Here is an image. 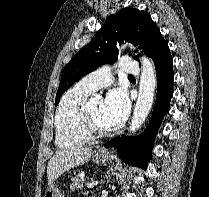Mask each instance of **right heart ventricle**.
<instances>
[{"mask_svg": "<svg viewBox=\"0 0 209 197\" xmlns=\"http://www.w3.org/2000/svg\"><path fill=\"white\" fill-rule=\"evenodd\" d=\"M92 92L88 89L75 85L62 97L56 110L55 142L61 148H73L88 142L79 126L80 112Z\"/></svg>", "mask_w": 209, "mask_h": 197, "instance_id": "right-heart-ventricle-1", "label": "right heart ventricle"}]
</instances>
